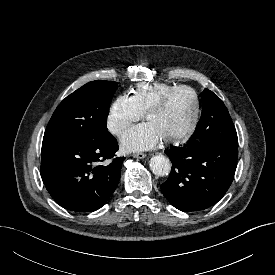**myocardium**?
Segmentation results:
<instances>
[{
	"instance_id": "1",
	"label": "myocardium",
	"mask_w": 275,
	"mask_h": 275,
	"mask_svg": "<svg viewBox=\"0 0 275 275\" xmlns=\"http://www.w3.org/2000/svg\"><path fill=\"white\" fill-rule=\"evenodd\" d=\"M181 90H187L192 93L194 97V104H195L194 115L190 126L187 128L185 132L175 137L163 139L164 142L170 143V144H179V143L186 142L196 131L200 120V112H201V104H200V98H199L198 92L189 85L174 86L171 89L164 92L145 112V119H147L149 115H151L152 113L160 111L165 106L166 102L168 101L171 95Z\"/></svg>"
}]
</instances>
